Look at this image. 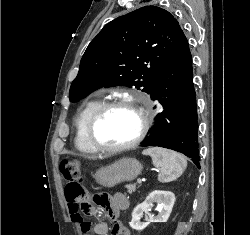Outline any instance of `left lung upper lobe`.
<instances>
[{
    "mask_svg": "<svg viewBox=\"0 0 250 235\" xmlns=\"http://www.w3.org/2000/svg\"><path fill=\"white\" fill-rule=\"evenodd\" d=\"M181 32L173 15L157 6H145L109 22L81 59L70 101L104 86H135L149 93Z\"/></svg>",
    "mask_w": 250,
    "mask_h": 235,
    "instance_id": "5c2ea615",
    "label": "left lung upper lobe"
}]
</instances>
